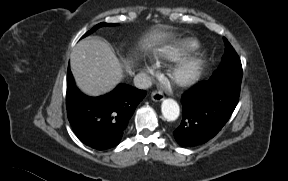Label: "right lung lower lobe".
Segmentation results:
<instances>
[{"mask_svg": "<svg viewBox=\"0 0 288 181\" xmlns=\"http://www.w3.org/2000/svg\"><path fill=\"white\" fill-rule=\"evenodd\" d=\"M146 92L126 84L112 92L90 97L75 86L68 67L66 106L69 122L81 142L97 150L117 146L128 121Z\"/></svg>", "mask_w": 288, "mask_h": 181, "instance_id": "obj_1", "label": "right lung lower lobe"}]
</instances>
